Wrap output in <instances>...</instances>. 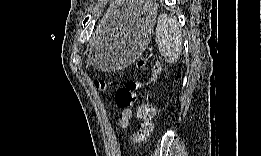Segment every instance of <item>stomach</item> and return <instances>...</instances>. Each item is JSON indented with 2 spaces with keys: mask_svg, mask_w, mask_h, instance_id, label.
<instances>
[{
  "mask_svg": "<svg viewBox=\"0 0 261 156\" xmlns=\"http://www.w3.org/2000/svg\"><path fill=\"white\" fill-rule=\"evenodd\" d=\"M155 16V10L143 11L110 37H99L92 52L95 67L106 70L121 68L138 58L148 45Z\"/></svg>",
  "mask_w": 261,
  "mask_h": 156,
  "instance_id": "0dacf381",
  "label": "stomach"
}]
</instances>
